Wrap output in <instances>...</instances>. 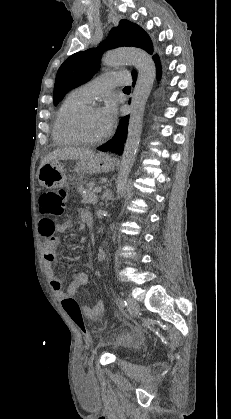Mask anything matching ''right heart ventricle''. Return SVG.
Listing matches in <instances>:
<instances>
[{
  "instance_id": "obj_1",
  "label": "right heart ventricle",
  "mask_w": 231,
  "mask_h": 419,
  "mask_svg": "<svg viewBox=\"0 0 231 419\" xmlns=\"http://www.w3.org/2000/svg\"><path fill=\"white\" fill-rule=\"evenodd\" d=\"M89 102L90 100L87 99L78 89L70 92L66 96L56 112L52 128L53 140L57 144L74 145L79 143V141L71 136L67 131L66 121L75 110L88 104Z\"/></svg>"
}]
</instances>
